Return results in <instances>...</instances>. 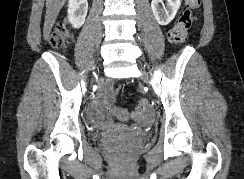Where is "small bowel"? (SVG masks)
<instances>
[{
  "label": "small bowel",
  "mask_w": 244,
  "mask_h": 179,
  "mask_svg": "<svg viewBox=\"0 0 244 179\" xmlns=\"http://www.w3.org/2000/svg\"><path fill=\"white\" fill-rule=\"evenodd\" d=\"M110 90H112V87H110ZM106 100L109 103L108 106L106 105L105 101H101L94 112L97 116V122L101 125H108L111 123L110 117L114 116L112 115V110H120L113 107L114 94L112 91L108 93ZM153 114H154L153 110H144L143 114L134 113V116H141V121H139V123L145 125L150 123V121H153V116H150ZM116 116H127V115H116Z\"/></svg>",
  "instance_id": "c3829d8e"
}]
</instances>
